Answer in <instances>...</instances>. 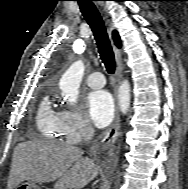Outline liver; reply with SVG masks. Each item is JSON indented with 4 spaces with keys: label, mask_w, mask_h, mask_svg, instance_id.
Here are the masks:
<instances>
[{
    "label": "liver",
    "mask_w": 188,
    "mask_h": 189,
    "mask_svg": "<svg viewBox=\"0 0 188 189\" xmlns=\"http://www.w3.org/2000/svg\"><path fill=\"white\" fill-rule=\"evenodd\" d=\"M82 155L80 148L59 142L19 143L13 152L7 188L14 189L25 180L42 184L58 179L61 189H81L98 172Z\"/></svg>",
    "instance_id": "obj_1"
}]
</instances>
